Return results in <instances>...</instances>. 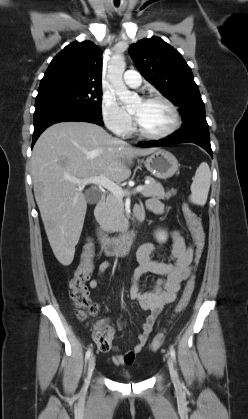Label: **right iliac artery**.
<instances>
[{
  "mask_svg": "<svg viewBox=\"0 0 248 419\" xmlns=\"http://www.w3.org/2000/svg\"><path fill=\"white\" fill-rule=\"evenodd\" d=\"M90 356H91V349L87 350L85 354V360H88Z\"/></svg>",
  "mask_w": 248,
  "mask_h": 419,
  "instance_id": "right-iliac-artery-1",
  "label": "right iliac artery"
}]
</instances>
